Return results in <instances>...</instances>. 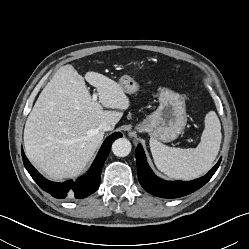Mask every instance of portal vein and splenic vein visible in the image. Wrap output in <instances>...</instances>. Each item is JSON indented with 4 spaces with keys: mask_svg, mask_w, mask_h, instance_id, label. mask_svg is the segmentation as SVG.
Wrapping results in <instances>:
<instances>
[{
    "mask_svg": "<svg viewBox=\"0 0 249 249\" xmlns=\"http://www.w3.org/2000/svg\"><path fill=\"white\" fill-rule=\"evenodd\" d=\"M93 101H95V102L97 101V94L96 93L93 94Z\"/></svg>",
    "mask_w": 249,
    "mask_h": 249,
    "instance_id": "obj_1",
    "label": "portal vein and splenic vein"
}]
</instances>
